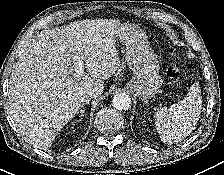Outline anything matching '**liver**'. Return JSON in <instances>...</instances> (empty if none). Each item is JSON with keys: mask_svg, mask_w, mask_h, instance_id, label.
<instances>
[{"mask_svg": "<svg viewBox=\"0 0 224 175\" xmlns=\"http://www.w3.org/2000/svg\"><path fill=\"white\" fill-rule=\"evenodd\" d=\"M123 24L86 19L43 30L20 56L10 77L9 107L21 136L46 149L80 110V94L100 96L103 80L120 69L115 37ZM82 67L88 75L75 77Z\"/></svg>", "mask_w": 224, "mask_h": 175, "instance_id": "1", "label": "liver"}]
</instances>
